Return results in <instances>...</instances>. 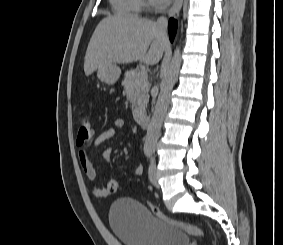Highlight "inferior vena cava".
<instances>
[{"mask_svg": "<svg viewBox=\"0 0 283 245\" xmlns=\"http://www.w3.org/2000/svg\"><path fill=\"white\" fill-rule=\"evenodd\" d=\"M157 24L163 29L166 30L167 27V19L165 17H160L157 20Z\"/></svg>", "mask_w": 283, "mask_h": 245, "instance_id": "inferior-vena-cava-1", "label": "inferior vena cava"}]
</instances>
